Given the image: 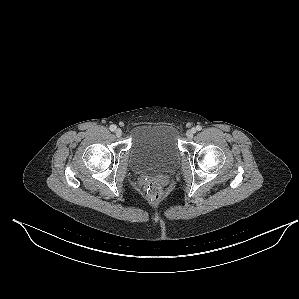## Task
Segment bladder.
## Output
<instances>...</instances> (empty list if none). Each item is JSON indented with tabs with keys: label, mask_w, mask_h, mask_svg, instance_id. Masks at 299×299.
<instances>
[{
	"label": "bladder",
	"mask_w": 299,
	"mask_h": 299,
	"mask_svg": "<svg viewBox=\"0 0 299 299\" xmlns=\"http://www.w3.org/2000/svg\"><path fill=\"white\" fill-rule=\"evenodd\" d=\"M181 151L178 133L169 124H145L132 131L131 168L140 174H166L178 166Z\"/></svg>",
	"instance_id": "bladder-1"
}]
</instances>
